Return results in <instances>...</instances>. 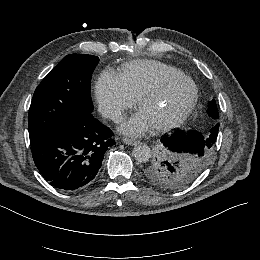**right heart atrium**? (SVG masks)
<instances>
[{
	"mask_svg": "<svg viewBox=\"0 0 260 260\" xmlns=\"http://www.w3.org/2000/svg\"><path fill=\"white\" fill-rule=\"evenodd\" d=\"M96 97L102 113L118 119L134 104V99L125 90L119 77L110 70H104L97 79Z\"/></svg>",
	"mask_w": 260,
	"mask_h": 260,
	"instance_id": "right-heart-atrium-1",
	"label": "right heart atrium"
}]
</instances>
